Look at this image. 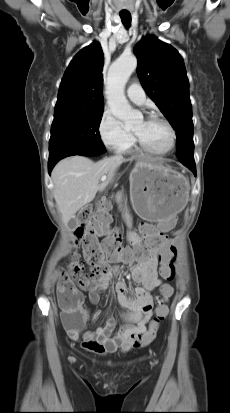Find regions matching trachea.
Returning a JSON list of instances; mask_svg holds the SVG:
<instances>
[{
	"mask_svg": "<svg viewBox=\"0 0 230 413\" xmlns=\"http://www.w3.org/2000/svg\"><path fill=\"white\" fill-rule=\"evenodd\" d=\"M120 18L122 20V23L124 24L125 27H130L131 24V14L129 12L126 13H120Z\"/></svg>",
	"mask_w": 230,
	"mask_h": 413,
	"instance_id": "trachea-1",
	"label": "trachea"
}]
</instances>
